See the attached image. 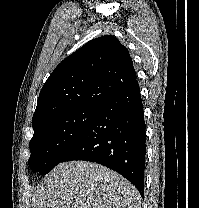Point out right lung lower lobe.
Returning a JSON list of instances; mask_svg holds the SVG:
<instances>
[{"label": "right lung lower lobe", "instance_id": "right-lung-lower-lobe-1", "mask_svg": "<svg viewBox=\"0 0 199 208\" xmlns=\"http://www.w3.org/2000/svg\"><path fill=\"white\" fill-rule=\"evenodd\" d=\"M146 125L138 82L102 102L61 162H96L120 173L144 196Z\"/></svg>", "mask_w": 199, "mask_h": 208}]
</instances>
